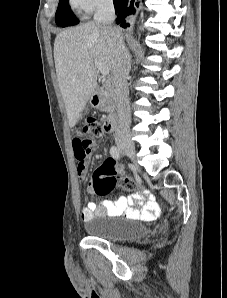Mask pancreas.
Instances as JSON below:
<instances>
[{
    "label": "pancreas",
    "instance_id": "obj_1",
    "mask_svg": "<svg viewBox=\"0 0 227 298\" xmlns=\"http://www.w3.org/2000/svg\"><path fill=\"white\" fill-rule=\"evenodd\" d=\"M105 105L101 108L104 112H111L113 109V97L109 91H104Z\"/></svg>",
    "mask_w": 227,
    "mask_h": 298
}]
</instances>
